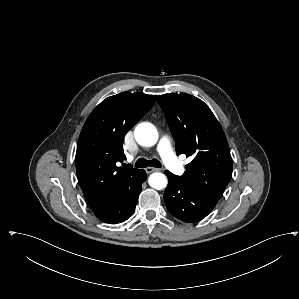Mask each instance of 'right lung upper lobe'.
Segmentation results:
<instances>
[{"label": "right lung upper lobe", "instance_id": "cb5924a9", "mask_svg": "<svg viewBox=\"0 0 299 299\" xmlns=\"http://www.w3.org/2000/svg\"><path fill=\"white\" fill-rule=\"evenodd\" d=\"M155 101V95L122 92L102 101L86 120L77 144L76 171L92 211L138 171L117 162L125 158L124 136Z\"/></svg>", "mask_w": 299, "mask_h": 299}]
</instances>
